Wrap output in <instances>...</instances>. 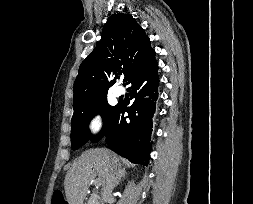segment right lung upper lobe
<instances>
[{
  "label": "right lung upper lobe",
  "instance_id": "1",
  "mask_svg": "<svg viewBox=\"0 0 253 204\" xmlns=\"http://www.w3.org/2000/svg\"><path fill=\"white\" fill-rule=\"evenodd\" d=\"M151 50L150 39L131 15H112L100 42L79 67L74 82V110L106 96L121 72L125 83ZM112 76L115 78L109 82Z\"/></svg>",
  "mask_w": 253,
  "mask_h": 204
}]
</instances>
